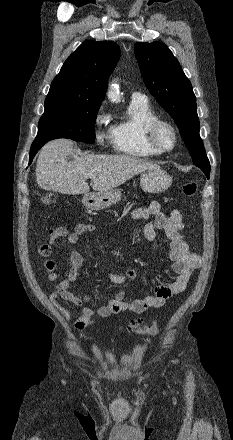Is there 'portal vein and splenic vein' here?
<instances>
[{
    "instance_id": "obj_1",
    "label": "portal vein and splenic vein",
    "mask_w": 233,
    "mask_h": 440,
    "mask_svg": "<svg viewBox=\"0 0 233 440\" xmlns=\"http://www.w3.org/2000/svg\"><path fill=\"white\" fill-rule=\"evenodd\" d=\"M85 177H86V178H91V177H92V174H85Z\"/></svg>"
}]
</instances>
